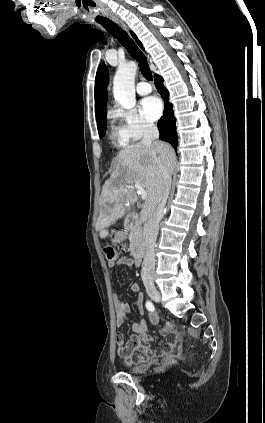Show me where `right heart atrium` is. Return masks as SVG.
Listing matches in <instances>:
<instances>
[{
	"label": "right heart atrium",
	"instance_id": "1",
	"mask_svg": "<svg viewBox=\"0 0 265 423\" xmlns=\"http://www.w3.org/2000/svg\"><path fill=\"white\" fill-rule=\"evenodd\" d=\"M113 116L120 121V129L127 141H136L149 134L155 125L135 109L114 110Z\"/></svg>",
	"mask_w": 265,
	"mask_h": 423
}]
</instances>
